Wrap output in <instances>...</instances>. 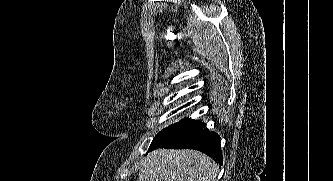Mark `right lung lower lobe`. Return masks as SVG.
I'll return each instance as SVG.
<instances>
[{"instance_id":"right-lung-lower-lobe-1","label":"right lung lower lobe","mask_w":333,"mask_h":181,"mask_svg":"<svg viewBox=\"0 0 333 181\" xmlns=\"http://www.w3.org/2000/svg\"><path fill=\"white\" fill-rule=\"evenodd\" d=\"M200 123L193 130L174 141L171 144L159 145L149 148V151L156 148H174V149H196L222 164V151L220 149V137L215 132L207 131Z\"/></svg>"}]
</instances>
